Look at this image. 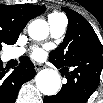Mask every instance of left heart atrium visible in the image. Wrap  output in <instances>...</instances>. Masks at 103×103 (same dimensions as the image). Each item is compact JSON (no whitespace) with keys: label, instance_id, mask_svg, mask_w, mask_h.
I'll return each mask as SVG.
<instances>
[{"label":"left heart atrium","instance_id":"left-heart-atrium-1","mask_svg":"<svg viewBox=\"0 0 103 103\" xmlns=\"http://www.w3.org/2000/svg\"><path fill=\"white\" fill-rule=\"evenodd\" d=\"M32 55L35 59H41L44 56V52L41 49L37 48L33 51Z\"/></svg>","mask_w":103,"mask_h":103}]
</instances>
